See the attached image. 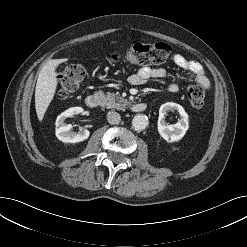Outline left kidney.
<instances>
[{
  "label": "left kidney",
  "mask_w": 247,
  "mask_h": 247,
  "mask_svg": "<svg viewBox=\"0 0 247 247\" xmlns=\"http://www.w3.org/2000/svg\"><path fill=\"white\" fill-rule=\"evenodd\" d=\"M169 110H177L180 114V120L173 125H168L165 121V115ZM158 132L163 139L167 142H177L181 140L186 131L189 128L188 124V114L185 112L184 108L176 103L167 102L162 104L159 109V118H158Z\"/></svg>",
  "instance_id": "obj_1"
}]
</instances>
